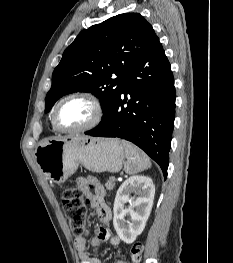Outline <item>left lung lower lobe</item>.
Instances as JSON below:
<instances>
[{"label": "left lung lower lobe", "mask_w": 233, "mask_h": 263, "mask_svg": "<svg viewBox=\"0 0 233 263\" xmlns=\"http://www.w3.org/2000/svg\"><path fill=\"white\" fill-rule=\"evenodd\" d=\"M175 98L171 66L156 37L126 74L112 109L85 134L133 142L159 164L166 179Z\"/></svg>", "instance_id": "0a47b994"}]
</instances>
